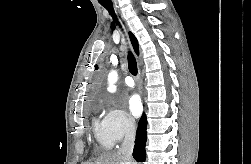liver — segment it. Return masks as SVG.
<instances>
[{
  "label": "liver",
  "instance_id": "liver-1",
  "mask_svg": "<svg viewBox=\"0 0 251 164\" xmlns=\"http://www.w3.org/2000/svg\"><path fill=\"white\" fill-rule=\"evenodd\" d=\"M86 164H126L122 157L115 152L101 154L94 162ZM135 164V163H132Z\"/></svg>",
  "mask_w": 251,
  "mask_h": 164
}]
</instances>
